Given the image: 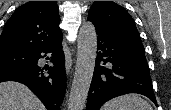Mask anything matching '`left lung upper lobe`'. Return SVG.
Returning <instances> with one entry per match:
<instances>
[{
    "label": "left lung upper lobe",
    "mask_w": 171,
    "mask_h": 110,
    "mask_svg": "<svg viewBox=\"0 0 171 110\" xmlns=\"http://www.w3.org/2000/svg\"><path fill=\"white\" fill-rule=\"evenodd\" d=\"M88 20L94 24L96 32L144 53L135 22L122 6L112 1H95L89 10Z\"/></svg>",
    "instance_id": "5c2ea615"
}]
</instances>
